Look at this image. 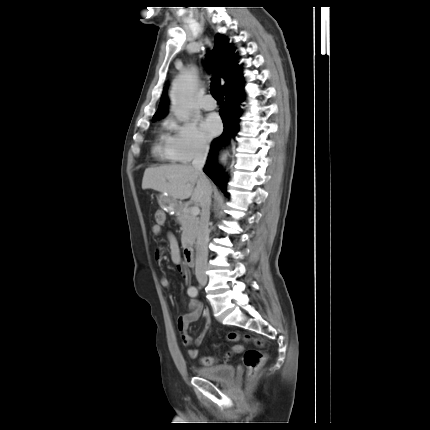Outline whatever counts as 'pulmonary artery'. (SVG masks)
I'll use <instances>...</instances> for the list:
<instances>
[{"label":"pulmonary artery","mask_w":430,"mask_h":430,"mask_svg":"<svg viewBox=\"0 0 430 430\" xmlns=\"http://www.w3.org/2000/svg\"><path fill=\"white\" fill-rule=\"evenodd\" d=\"M217 104L216 101L212 98L211 95H206L202 102V108L204 110H214Z\"/></svg>","instance_id":"1"}]
</instances>
